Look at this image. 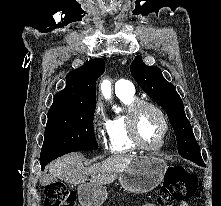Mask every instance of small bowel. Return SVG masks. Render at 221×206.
<instances>
[{
  "label": "small bowel",
  "mask_w": 221,
  "mask_h": 206,
  "mask_svg": "<svg viewBox=\"0 0 221 206\" xmlns=\"http://www.w3.org/2000/svg\"><path fill=\"white\" fill-rule=\"evenodd\" d=\"M145 206H157V204H148V205H145ZM170 206H188L186 203H181L179 205H176V204H170Z\"/></svg>",
  "instance_id": "small-bowel-1"
}]
</instances>
